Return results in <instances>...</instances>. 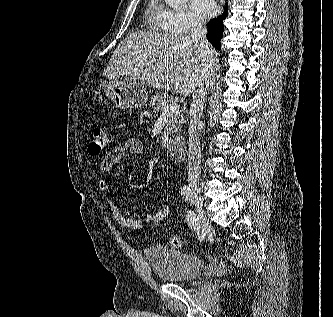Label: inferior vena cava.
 Masks as SVG:
<instances>
[{"label": "inferior vena cava", "instance_id": "602c4592", "mask_svg": "<svg viewBox=\"0 0 333 317\" xmlns=\"http://www.w3.org/2000/svg\"><path fill=\"white\" fill-rule=\"evenodd\" d=\"M190 30L192 42L197 44L202 51L208 54L207 64H205L207 71L200 76L193 91L188 130V185L192 189H199L201 175V148L197 126L203 111L205 95L212 76L213 59L212 51L206 37L207 29L200 22H193Z\"/></svg>", "mask_w": 333, "mask_h": 317}]
</instances>
